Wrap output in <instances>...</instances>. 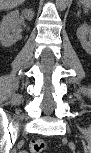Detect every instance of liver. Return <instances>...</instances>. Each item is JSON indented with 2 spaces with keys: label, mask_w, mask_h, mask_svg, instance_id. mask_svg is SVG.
I'll list each match as a JSON object with an SVG mask.
<instances>
[{
  "label": "liver",
  "mask_w": 91,
  "mask_h": 153,
  "mask_svg": "<svg viewBox=\"0 0 91 153\" xmlns=\"http://www.w3.org/2000/svg\"><path fill=\"white\" fill-rule=\"evenodd\" d=\"M24 1L25 0H1L0 5H1V8L11 9L18 5H21L22 3H24Z\"/></svg>",
  "instance_id": "6515ba94"
}]
</instances>
